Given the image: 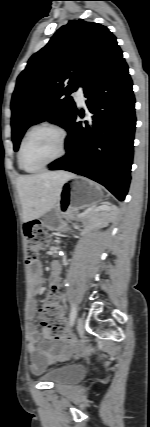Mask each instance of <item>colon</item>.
<instances>
[{
	"label": "colon",
	"mask_w": 150,
	"mask_h": 427,
	"mask_svg": "<svg viewBox=\"0 0 150 427\" xmlns=\"http://www.w3.org/2000/svg\"><path fill=\"white\" fill-rule=\"evenodd\" d=\"M27 239V262L35 263L41 250L50 240L49 234L43 229L39 221H30L24 226ZM42 326L53 337L67 336V329L62 316V310L58 302L57 291L51 290L45 297L39 310Z\"/></svg>",
	"instance_id": "obj_1"
}]
</instances>
